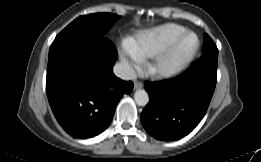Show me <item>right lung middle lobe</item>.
I'll list each match as a JSON object with an SVG mask.
<instances>
[{
  "label": "right lung middle lobe",
  "mask_w": 261,
  "mask_h": 162,
  "mask_svg": "<svg viewBox=\"0 0 261 162\" xmlns=\"http://www.w3.org/2000/svg\"><path fill=\"white\" fill-rule=\"evenodd\" d=\"M119 18V15L113 13H95L80 16L62 30L55 40L76 36L101 35Z\"/></svg>",
  "instance_id": "right-lung-middle-lobe-1"
}]
</instances>
